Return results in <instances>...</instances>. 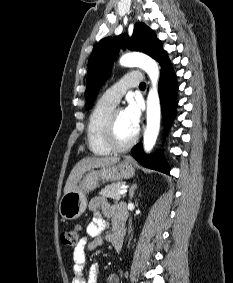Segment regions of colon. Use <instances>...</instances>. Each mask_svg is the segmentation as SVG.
<instances>
[{
	"label": "colon",
	"mask_w": 233,
	"mask_h": 283,
	"mask_svg": "<svg viewBox=\"0 0 233 283\" xmlns=\"http://www.w3.org/2000/svg\"><path fill=\"white\" fill-rule=\"evenodd\" d=\"M81 233V227L75 225L68 228L61 234V242L66 246H74L77 244Z\"/></svg>",
	"instance_id": "1"
}]
</instances>
